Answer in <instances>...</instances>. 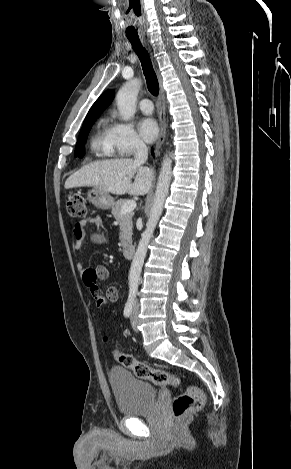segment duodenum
<instances>
[{
	"instance_id": "obj_1",
	"label": "duodenum",
	"mask_w": 291,
	"mask_h": 469,
	"mask_svg": "<svg viewBox=\"0 0 291 469\" xmlns=\"http://www.w3.org/2000/svg\"><path fill=\"white\" fill-rule=\"evenodd\" d=\"M135 247L133 244H126L123 248V253L126 258H131L134 255Z\"/></svg>"
}]
</instances>
